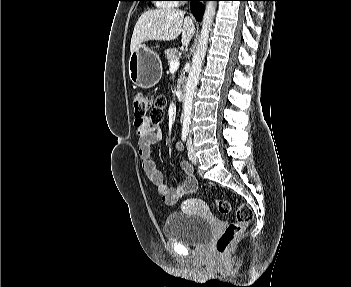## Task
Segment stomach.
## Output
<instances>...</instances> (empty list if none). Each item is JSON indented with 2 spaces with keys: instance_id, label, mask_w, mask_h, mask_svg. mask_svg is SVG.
Returning a JSON list of instances; mask_svg holds the SVG:
<instances>
[{
  "instance_id": "obj_1",
  "label": "stomach",
  "mask_w": 351,
  "mask_h": 287,
  "mask_svg": "<svg viewBox=\"0 0 351 287\" xmlns=\"http://www.w3.org/2000/svg\"><path fill=\"white\" fill-rule=\"evenodd\" d=\"M130 80L137 86L148 89L155 86L162 76V62L154 51L139 46L129 58Z\"/></svg>"
}]
</instances>
